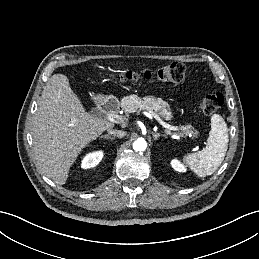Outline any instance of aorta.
<instances>
[{
  "label": "aorta",
  "instance_id": "762f6f07",
  "mask_svg": "<svg viewBox=\"0 0 259 259\" xmlns=\"http://www.w3.org/2000/svg\"><path fill=\"white\" fill-rule=\"evenodd\" d=\"M147 148V143L144 139H137L134 143H133V149L135 151H145Z\"/></svg>",
  "mask_w": 259,
  "mask_h": 259
}]
</instances>
